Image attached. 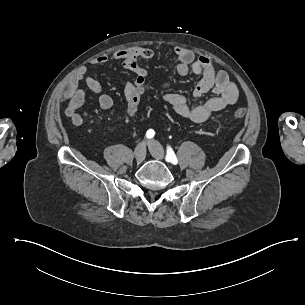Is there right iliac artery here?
Masks as SVG:
<instances>
[{"label":"right iliac artery","instance_id":"right-iliac-artery-1","mask_svg":"<svg viewBox=\"0 0 305 305\" xmlns=\"http://www.w3.org/2000/svg\"><path fill=\"white\" fill-rule=\"evenodd\" d=\"M154 134H155V131L153 129H149L146 133V137L148 139H150V138L154 137Z\"/></svg>","mask_w":305,"mask_h":305}]
</instances>
